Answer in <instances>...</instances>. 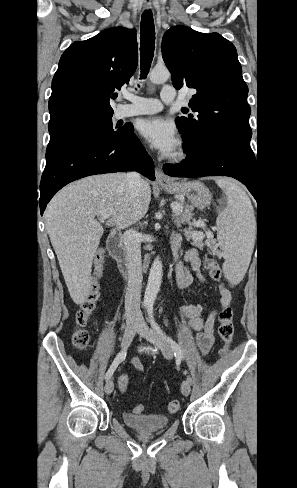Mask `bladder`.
<instances>
[{
    "label": "bladder",
    "mask_w": 297,
    "mask_h": 488,
    "mask_svg": "<svg viewBox=\"0 0 297 488\" xmlns=\"http://www.w3.org/2000/svg\"><path fill=\"white\" fill-rule=\"evenodd\" d=\"M122 420L128 427L143 432L159 431L169 424V418L160 414L136 415L124 412Z\"/></svg>",
    "instance_id": "31cf9c89"
}]
</instances>
